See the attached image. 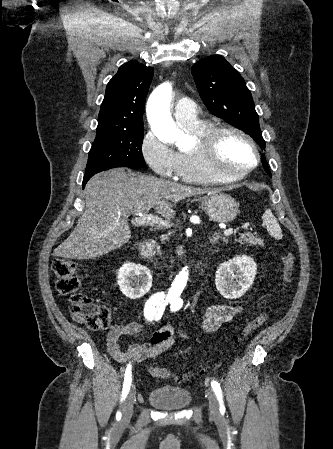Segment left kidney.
<instances>
[{
    "label": "left kidney",
    "instance_id": "obj_1",
    "mask_svg": "<svg viewBox=\"0 0 333 449\" xmlns=\"http://www.w3.org/2000/svg\"><path fill=\"white\" fill-rule=\"evenodd\" d=\"M256 274L257 265L250 256H236L217 268L216 288L225 298H239L252 286Z\"/></svg>",
    "mask_w": 333,
    "mask_h": 449
}]
</instances>
